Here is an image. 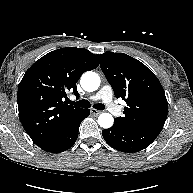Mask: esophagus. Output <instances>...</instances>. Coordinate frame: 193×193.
Here are the masks:
<instances>
[{
	"instance_id": "esophagus-1",
	"label": "esophagus",
	"mask_w": 193,
	"mask_h": 193,
	"mask_svg": "<svg viewBox=\"0 0 193 193\" xmlns=\"http://www.w3.org/2000/svg\"><path fill=\"white\" fill-rule=\"evenodd\" d=\"M90 112H91V114L96 115V116L101 113V111L93 109V108L90 110Z\"/></svg>"
}]
</instances>
